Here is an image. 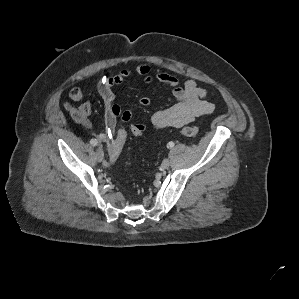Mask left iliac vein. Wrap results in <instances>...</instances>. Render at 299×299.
I'll return each mask as SVG.
<instances>
[{"mask_svg": "<svg viewBox=\"0 0 299 299\" xmlns=\"http://www.w3.org/2000/svg\"><path fill=\"white\" fill-rule=\"evenodd\" d=\"M169 166H170V161H169V159H167V158L164 159V160L162 161L161 167H162L163 169H168Z\"/></svg>", "mask_w": 299, "mask_h": 299, "instance_id": "4c4485c4", "label": "left iliac vein"}]
</instances>
